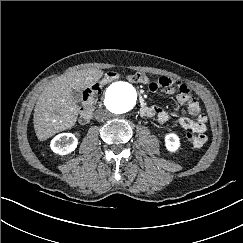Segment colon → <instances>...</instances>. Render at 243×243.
Here are the masks:
<instances>
[{
	"instance_id": "colon-1",
	"label": "colon",
	"mask_w": 243,
	"mask_h": 243,
	"mask_svg": "<svg viewBox=\"0 0 243 243\" xmlns=\"http://www.w3.org/2000/svg\"><path fill=\"white\" fill-rule=\"evenodd\" d=\"M119 78V74L116 72H109L107 73L102 81L98 84H95L88 89L85 90L83 93V105L80 109L79 113V121L81 123H86L91 119L94 106L96 104L97 98L101 92L102 85L109 81L115 80ZM127 78L134 83H141V84H148L149 80L148 77L142 72H135L127 76ZM150 84V83H149ZM186 139L192 145H195L198 142V136L188 132L186 134Z\"/></svg>"
}]
</instances>
